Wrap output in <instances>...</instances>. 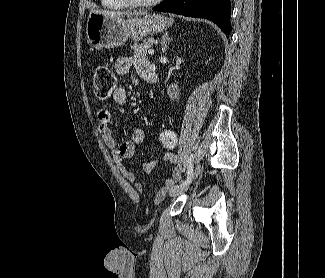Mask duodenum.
<instances>
[{
  "mask_svg": "<svg viewBox=\"0 0 325 278\" xmlns=\"http://www.w3.org/2000/svg\"><path fill=\"white\" fill-rule=\"evenodd\" d=\"M145 80L149 83H156L158 81V74L152 65H148L145 70Z\"/></svg>",
  "mask_w": 325,
  "mask_h": 278,
  "instance_id": "duodenum-1",
  "label": "duodenum"
}]
</instances>
